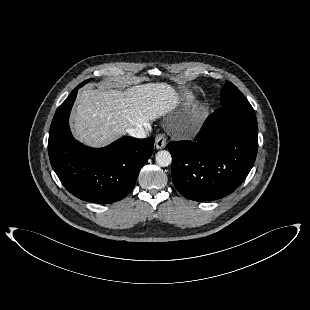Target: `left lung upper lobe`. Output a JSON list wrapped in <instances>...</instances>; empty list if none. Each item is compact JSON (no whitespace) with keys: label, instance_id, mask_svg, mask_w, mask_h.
<instances>
[{"label":"left lung upper lobe","instance_id":"1","mask_svg":"<svg viewBox=\"0 0 310 310\" xmlns=\"http://www.w3.org/2000/svg\"><path fill=\"white\" fill-rule=\"evenodd\" d=\"M246 101L247 99L240 90L231 82L226 81L225 86L221 90V105H236Z\"/></svg>","mask_w":310,"mask_h":310}]
</instances>
